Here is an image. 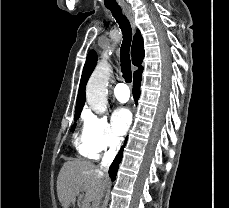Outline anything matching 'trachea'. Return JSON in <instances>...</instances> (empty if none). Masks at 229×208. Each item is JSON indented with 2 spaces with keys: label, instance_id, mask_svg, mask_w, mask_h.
I'll return each instance as SVG.
<instances>
[{
  "label": "trachea",
  "instance_id": "3493384b",
  "mask_svg": "<svg viewBox=\"0 0 229 208\" xmlns=\"http://www.w3.org/2000/svg\"><path fill=\"white\" fill-rule=\"evenodd\" d=\"M111 11L113 17L121 28L123 41L120 49V66L123 78L126 83L132 81L131 61H130V46L132 41V28L129 20L122 13L121 7H106Z\"/></svg>",
  "mask_w": 229,
  "mask_h": 208
}]
</instances>
